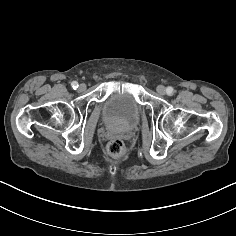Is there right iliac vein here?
Masks as SVG:
<instances>
[{"mask_svg": "<svg viewBox=\"0 0 236 236\" xmlns=\"http://www.w3.org/2000/svg\"><path fill=\"white\" fill-rule=\"evenodd\" d=\"M85 89H86V85L85 84H80L79 87H78V90L80 92H83Z\"/></svg>", "mask_w": 236, "mask_h": 236, "instance_id": "right-iliac-vein-1", "label": "right iliac vein"}]
</instances>
